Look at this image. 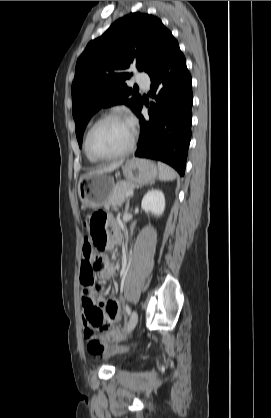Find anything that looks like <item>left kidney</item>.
Segmentation results:
<instances>
[{
	"mask_svg": "<svg viewBox=\"0 0 271 418\" xmlns=\"http://www.w3.org/2000/svg\"><path fill=\"white\" fill-rule=\"evenodd\" d=\"M141 208L156 216H160L165 209V197L161 190L152 189L148 191L141 202Z\"/></svg>",
	"mask_w": 271,
	"mask_h": 418,
	"instance_id": "5707ae66",
	"label": "left kidney"
}]
</instances>
